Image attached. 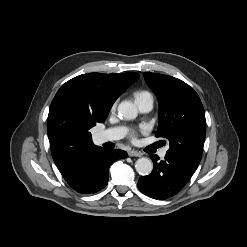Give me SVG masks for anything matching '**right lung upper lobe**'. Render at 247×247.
Returning a JSON list of instances; mask_svg holds the SVG:
<instances>
[{
    "label": "right lung upper lobe",
    "mask_w": 247,
    "mask_h": 247,
    "mask_svg": "<svg viewBox=\"0 0 247 247\" xmlns=\"http://www.w3.org/2000/svg\"><path fill=\"white\" fill-rule=\"evenodd\" d=\"M138 78L135 72L83 74L67 81L58 90L50 106L47 130L52 157L60 172L76 157L97 147L92 138L76 137L63 129L61 112L69 108L101 121L116 99Z\"/></svg>",
    "instance_id": "right-lung-upper-lobe-1"
}]
</instances>
